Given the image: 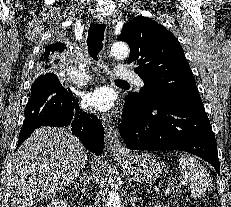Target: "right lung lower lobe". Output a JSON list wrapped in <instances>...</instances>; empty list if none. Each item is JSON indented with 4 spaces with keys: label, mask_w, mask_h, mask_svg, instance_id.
Listing matches in <instances>:
<instances>
[{
    "label": "right lung lower lobe",
    "mask_w": 231,
    "mask_h": 207,
    "mask_svg": "<svg viewBox=\"0 0 231 207\" xmlns=\"http://www.w3.org/2000/svg\"><path fill=\"white\" fill-rule=\"evenodd\" d=\"M41 126H70L90 152L102 154L104 133L100 120L83 112L72 92L65 89L53 73L39 76L32 84L18 146Z\"/></svg>",
    "instance_id": "obj_1"
}]
</instances>
